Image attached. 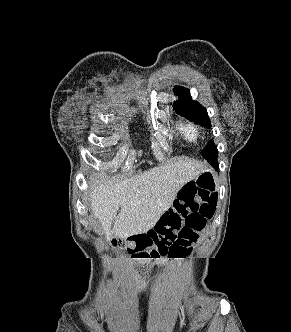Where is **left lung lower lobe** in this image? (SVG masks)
Instances as JSON below:
<instances>
[{
	"label": "left lung lower lobe",
	"mask_w": 291,
	"mask_h": 332,
	"mask_svg": "<svg viewBox=\"0 0 291 332\" xmlns=\"http://www.w3.org/2000/svg\"><path fill=\"white\" fill-rule=\"evenodd\" d=\"M212 166L215 167V168H218V163H217V162H214V163L212 164Z\"/></svg>",
	"instance_id": "left-lung-lower-lobe-1"
}]
</instances>
